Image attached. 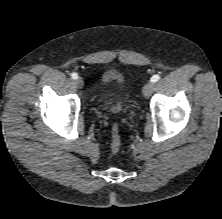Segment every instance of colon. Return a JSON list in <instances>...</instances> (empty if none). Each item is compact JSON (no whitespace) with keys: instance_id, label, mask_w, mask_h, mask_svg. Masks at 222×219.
<instances>
[{"instance_id":"1","label":"colon","mask_w":222,"mask_h":219,"mask_svg":"<svg viewBox=\"0 0 222 219\" xmlns=\"http://www.w3.org/2000/svg\"><path fill=\"white\" fill-rule=\"evenodd\" d=\"M121 147V137L117 128L113 129L112 137H111V150L116 153L119 151Z\"/></svg>"}]
</instances>
